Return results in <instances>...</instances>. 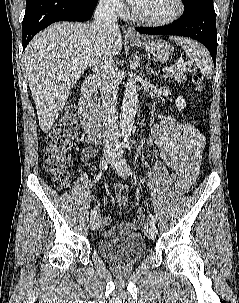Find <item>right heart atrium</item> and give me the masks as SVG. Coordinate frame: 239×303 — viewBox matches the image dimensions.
Instances as JSON below:
<instances>
[{
    "mask_svg": "<svg viewBox=\"0 0 239 303\" xmlns=\"http://www.w3.org/2000/svg\"><path fill=\"white\" fill-rule=\"evenodd\" d=\"M101 5L107 10L122 15L126 11V6L122 0H100Z\"/></svg>",
    "mask_w": 239,
    "mask_h": 303,
    "instance_id": "1",
    "label": "right heart atrium"
}]
</instances>
